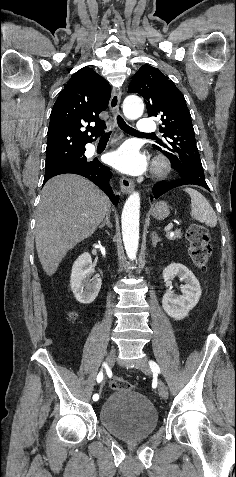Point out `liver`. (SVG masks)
I'll list each match as a JSON object with an SVG mask.
<instances>
[{
    "label": "liver",
    "mask_w": 236,
    "mask_h": 477,
    "mask_svg": "<svg viewBox=\"0 0 236 477\" xmlns=\"http://www.w3.org/2000/svg\"><path fill=\"white\" fill-rule=\"evenodd\" d=\"M109 198L89 180L62 174L43 187L35 243L40 263L52 276L67 252L90 237L107 214Z\"/></svg>",
    "instance_id": "liver-1"
}]
</instances>
